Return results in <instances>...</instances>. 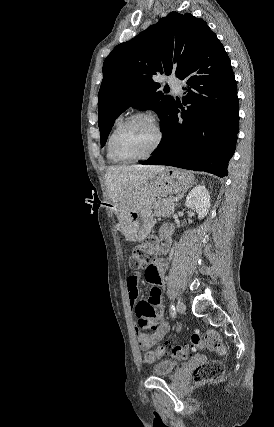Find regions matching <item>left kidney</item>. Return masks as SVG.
Returning a JSON list of instances; mask_svg holds the SVG:
<instances>
[{"instance_id":"5707ae66","label":"left kidney","mask_w":274,"mask_h":427,"mask_svg":"<svg viewBox=\"0 0 274 427\" xmlns=\"http://www.w3.org/2000/svg\"><path fill=\"white\" fill-rule=\"evenodd\" d=\"M185 206L191 208L193 212H197L199 219H203L211 206L210 194L205 186H195L188 194Z\"/></svg>"}]
</instances>
